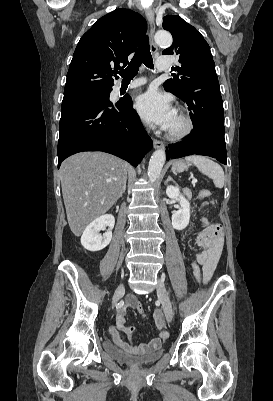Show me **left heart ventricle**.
I'll use <instances>...</instances> for the list:
<instances>
[{
    "mask_svg": "<svg viewBox=\"0 0 273 401\" xmlns=\"http://www.w3.org/2000/svg\"><path fill=\"white\" fill-rule=\"evenodd\" d=\"M182 127H183V122H182L181 118L179 117V115L177 114L168 130L176 131V130L181 129Z\"/></svg>",
    "mask_w": 273,
    "mask_h": 401,
    "instance_id": "obj_1",
    "label": "left heart ventricle"
}]
</instances>
